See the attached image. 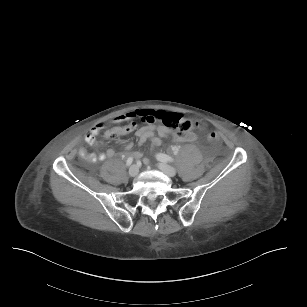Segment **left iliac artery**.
Here are the masks:
<instances>
[{
  "label": "left iliac artery",
  "mask_w": 307,
  "mask_h": 307,
  "mask_svg": "<svg viewBox=\"0 0 307 307\" xmlns=\"http://www.w3.org/2000/svg\"><path fill=\"white\" fill-rule=\"evenodd\" d=\"M177 153V152H176ZM157 159L161 162H173L174 159L166 154L159 153L157 154Z\"/></svg>",
  "instance_id": "obj_1"
}]
</instances>
